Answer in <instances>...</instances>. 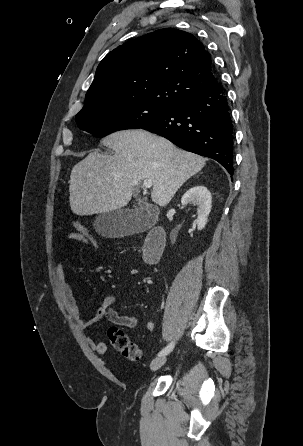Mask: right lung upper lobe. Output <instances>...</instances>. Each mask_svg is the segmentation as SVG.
<instances>
[{"mask_svg":"<svg viewBox=\"0 0 303 446\" xmlns=\"http://www.w3.org/2000/svg\"><path fill=\"white\" fill-rule=\"evenodd\" d=\"M217 83L211 56L196 37L174 28L160 29L103 58L81 111L133 101L173 107Z\"/></svg>","mask_w":303,"mask_h":446,"instance_id":"cb5924a9","label":"right lung upper lobe"}]
</instances>
